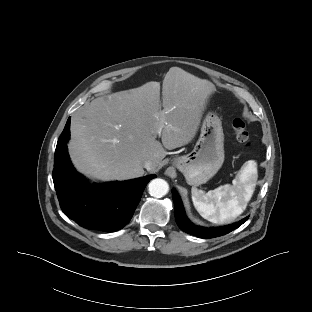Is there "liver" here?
Here are the masks:
<instances>
[{"label":"liver","instance_id":"liver-1","mask_svg":"<svg viewBox=\"0 0 312 312\" xmlns=\"http://www.w3.org/2000/svg\"><path fill=\"white\" fill-rule=\"evenodd\" d=\"M215 91L210 81L172 67L163 80V110L160 83L154 81L92 100L71 119L68 149L74 166L103 182L141 177L144 161L152 160L156 169L166 150L195 137Z\"/></svg>","mask_w":312,"mask_h":312}]
</instances>
